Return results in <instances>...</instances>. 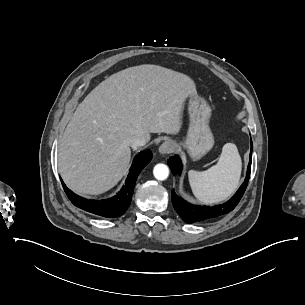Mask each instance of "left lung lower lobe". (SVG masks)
<instances>
[{
    "label": "left lung lower lobe",
    "instance_id": "left-lung-lower-lobe-1",
    "mask_svg": "<svg viewBox=\"0 0 305 305\" xmlns=\"http://www.w3.org/2000/svg\"><path fill=\"white\" fill-rule=\"evenodd\" d=\"M252 141H251V151H250V159L249 164L247 167V174L244 183L240 186L238 191L234 194V196L227 201L224 204L218 205V206H196L192 205L182 198L178 197L174 190H172L171 196H172V203L176 210V212L180 215V217L185 221L186 223H194L199 221H204L207 219H211L220 215H223L225 213H228L232 211L237 204L239 203L240 199L242 198L248 181L250 177V171H251V160H252ZM172 173L174 175H180L182 171V164L178 156L171 157L167 161Z\"/></svg>",
    "mask_w": 305,
    "mask_h": 305
}]
</instances>
